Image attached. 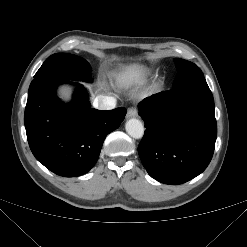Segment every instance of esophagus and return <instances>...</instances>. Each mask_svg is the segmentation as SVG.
<instances>
[{"instance_id":"esophagus-1","label":"esophagus","mask_w":247,"mask_h":247,"mask_svg":"<svg viewBox=\"0 0 247 247\" xmlns=\"http://www.w3.org/2000/svg\"><path fill=\"white\" fill-rule=\"evenodd\" d=\"M136 116H137V110L136 109H134V108L128 109L127 115H126L127 118H132V117H136Z\"/></svg>"}]
</instances>
